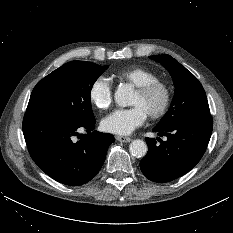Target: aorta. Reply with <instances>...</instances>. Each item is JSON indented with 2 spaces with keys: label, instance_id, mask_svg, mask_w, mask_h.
Returning <instances> with one entry per match:
<instances>
[{
  "label": "aorta",
  "instance_id": "762f6f07",
  "mask_svg": "<svg viewBox=\"0 0 233 233\" xmlns=\"http://www.w3.org/2000/svg\"><path fill=\"white\" fill-rule=\"evenodd\" d=\"M133 91L128 85H121L117 88L114 99L117 105L126 107L129 105ZM147 144L140 139L134 140L129 145V151L132 156L141 158L147 153Z\"/></svg>",
  "mask_w": 233,
  "mask_h": 233
}]
</instances>
